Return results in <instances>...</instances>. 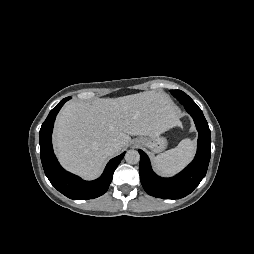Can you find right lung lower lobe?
<instances>
[{"instance_id": "obj_1", "label": "right lung lower lobe", "mask_w": 254, "mask_h": 254, "mask_svg": "<svg viewBox=\"0 0 254 254\" xmlns=\"http://www.w3.org/2000/svg\"><path fill=\"white\" fill-rule=\"evenodd\" d=\"M67 97L54 107L39 132L40 156L45 175L51 184L62 194L74 200L93 199L104 194L112 181L113 173L125 152L111 159L101 177L94 181H84L80 177L64 170L58 163L52 148L51 134L57 113L63 104L69 100Z\"/></svg>"}]
</instances>
